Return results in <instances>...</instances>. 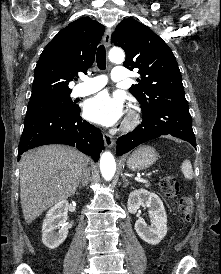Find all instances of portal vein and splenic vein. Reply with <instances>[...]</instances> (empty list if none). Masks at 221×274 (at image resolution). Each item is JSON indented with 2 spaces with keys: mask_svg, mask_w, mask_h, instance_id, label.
<instances>
[{
  "mask_svg": "<svg viewBox=\"0 0 221 274\" xmlns=\"http://www.w3.org/2000/svg\"><path fill=\"white\" fill-rule=\"evenodd\" d=\"M135 180L138 181V182H147L146 180H144L141 177H135Z\"/></svg>",
  "mask_w": 221,
  "mask_h": 274,
  "instance_id": "obj_1",
  "label": "portal vein and splenic vein"
}]
</instances>
